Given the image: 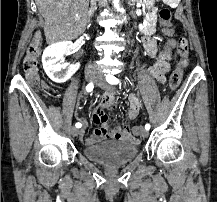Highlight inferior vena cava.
Listing matches in <instances>:
<instances>
[{
    "mask_svg": "<svg viewBox=\"0 0 217 202\" xmlns=\"http://www.w3.org/2000/svg\"><path fill=\"white\" fill-rule=\"evenodd\" d=\"M95 0H91V4H94Z\"/></svg>",
    "mask_w": 217,
    "mask_h": 202,
    "instance_id": "inferior-vena-cava-1",
    "label": "inferior vena cava"
}]
</instances>
